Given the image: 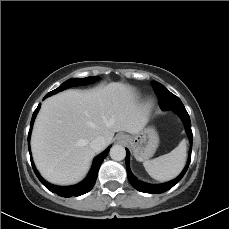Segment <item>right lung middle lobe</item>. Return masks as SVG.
Wrapping results in <instances>:
<instances>
[{"label": "right lung middle lobe", "instance_id": "dd1d6c3e", "mask_svg": "<svg viewBox=\"0 0 229 229\" xmlns=\"http://www.w3.org/2000/svg\"><path fill=\"white\" fill-rule=\"evenodd\" d=\"M97 79H98L97 77H87V78H82V79L75 78V79L67 80L60 87H58L57 89L49 92L47 94V96H51L53 94H56V93H58V92H60V91H62L64 89H67V88L72 87V86H79V85L89 84L91 82H94Z\"/></svg>", "mask_w": 229, "mask_h": 229}]
</instances>
